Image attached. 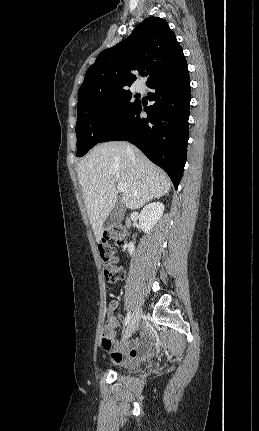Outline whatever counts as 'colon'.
<instances>
[{
  "instance_id": "colon-1",
  "label": "colon",
  "mask_w": 259,
  "mask_h": 431,
  "mask_svg": "<svg viewBox=\"0 0 259 431\" xmlns=\"http://www.w3.org/2000/svg\"><path fill=\"white\" fill-rule=\"evenodd\" d=\"M125 237L126 231L122 226L109 228L104 232L102 243L99 245L104 277L110 285L116 284L124 277V270L118 263L117 251L111 242H114L118 246L123 245ZM110 323V319L108 318L106 325L109 326ZM110 342L107 331H105L102 335V345L108 346Z\"/></svg>"
}]
</instances>
